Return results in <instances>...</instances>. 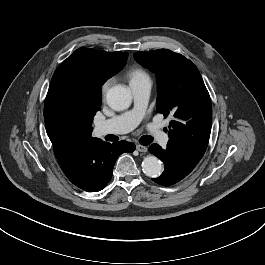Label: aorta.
I'll return each instance as SVG.
<instances>
[{
	"mask_svg": "<svg viewBox=\"0 0 265 265\" xmlns=\"http://www.w3.org/2000/svg\"><path fill=\"white\" fill-rule=\"evenodd\" d=\"M106 100L112 109L122 111L130 106L132 94L128 87L115 85L108 90ZM142 170L146 176L156 178L162 173V165L157 157L151 155L144 158Z\"/></svg>",
	"mask_w": 265,
	"mask_h": 265,
	"instance_id": "1",
	"label": "aorta"
}]
</instances>
